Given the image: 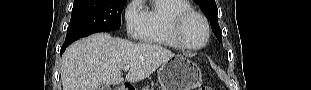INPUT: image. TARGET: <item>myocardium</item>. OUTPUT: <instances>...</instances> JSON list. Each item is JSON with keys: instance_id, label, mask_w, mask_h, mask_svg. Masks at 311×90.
<instances>
[{"instance_id": "obj_1", "label": "myocardium", "mask_w": 311, "mask_h": 90, "mask_svg": "<svg viewBox=\"0 0 311 90\" xmlns=\"http://www.w3.org/2000/svg\"><path fill=\"white\" fill-rule=\"evenodd\" d=\"M193 17L199 18L203 22L204 27H205V38L198 45H193L189 43L183 35V28L185 24L187 23L188 20H190ZM172 32L179 46L181 48L188 49V50H199L205 47L210 39V34H211L210 24L207 18L203 14L195 10L184 11L176 15V17L173 20V24H172Z\"/></svg>"}]
</instances>
